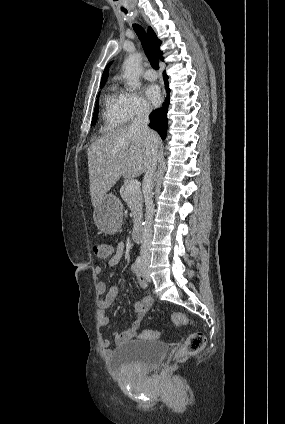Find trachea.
Returning <instances> with one entry per match:
<instances>
[{
    "label": "trachea",
    "mask_w": 285,
    "mask_h": 424,
    "mask_svg": "<svg viewBox=\"0 0 285 424\" xmlns=\"http://www.w3.org/2000/svg\"><path fill=\"white\" fill-rule=\"evenodd\" d=\"M125 13H127V11H124ZM133 29L136 32L137 36L139 37L143 49L145 51V54L151 64V66L155 69H159V60H158V56L153 48V45L149 39V37L147 36L146 32L144 31V29L138 25V24H134L133 25Z\"/></svg>",
    "instance_id": "obj_1"
}]
</instances>
